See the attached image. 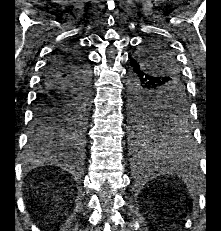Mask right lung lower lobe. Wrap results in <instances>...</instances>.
I'll use <instances>...</instances> for the list:
<instances>
[{
    "mask_svg": "<svg viewBox=\"0 0 221 231\" xmlns=\"http://www.w3.org/2000/svg\"><path fill=\"white\" fill-rule=\"evenodd\" d=\"M91 72L87 59L72 49L57 52L48 62L37 96L36 109L29 137L33 151H54L68 142L61 130L59 137L43 138L53 124V110H59L74 96L90 98ZM79 152V150H77Z\"/></svg>",
    "mask_w": 221,
    "mask_h": 231,
    "instance_id": "right-lung-lower-lobe-1",
    "label": "right lung lower lobe"
}]
</instances>
